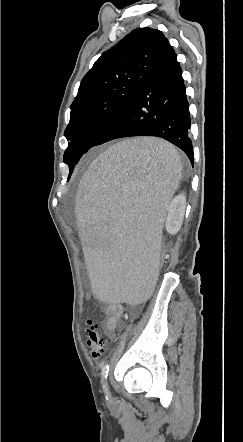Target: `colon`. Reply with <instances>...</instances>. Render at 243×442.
Wrapping results in <instances>:
<instances>
[{"mask_svg": "<svg viewBox=\"0 0 243 442\" xmlns=\"http://www.w3.org/2000/svg\"><path fill=\"white\" fill-rule=\"evenodd\" d=\"M163 238H166V235H163ZM164 242H167V239H164ZM168 252L169 247L163 246L162 250L158 253L159 258H166ZM85 336L86 344L90 349L92 357L100 358L107 352V345L98 323L90 320L85 329Z\"/></svg>", "mask_w": 243, "mask_h": 442, "instance_id": "colon-1", "label": "colon"}]
</instances>
